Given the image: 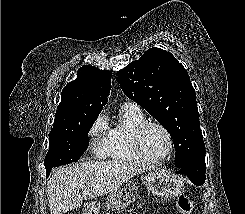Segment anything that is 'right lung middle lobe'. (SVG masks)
Listing matches in <instances>:
<instances>
[{
	"instance_id": "right-lung-middle-lobe-1",
	"label": "right lung middle lobe",
	"mask_w": 245,
	"mask_h": 214,
	"mask_svg": "<svg viewBox=\"0 0 245 214\" xmlns=\"http://www.w3.org/2000/svg\"><path fill=\"white\" fill-rule=\"evenodd\" d=\"M99 113L81 115L70 128L49 136V150L44 161L47 177L53 167L78 161L88 147V133Z\"/></svg>"
}]
</instances>
